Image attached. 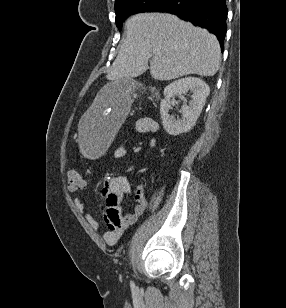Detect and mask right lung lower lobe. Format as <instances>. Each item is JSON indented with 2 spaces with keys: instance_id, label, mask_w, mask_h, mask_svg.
Here are the masks:
<instances>
[{
  "instance_id": "98d812e1",
  "label": "right lung lower lobe",
  "mask_w": 286,
  "mask_h": 308,
  "mask_svg": "<svg viewBox=\"0 0 286 308\" xmlns=\"http://www.w3.org/2000/svg\"><path fill=\"white\" fill-rule=\"evenodd\" d=\"M152 12H167L215 34L224 49L227 26L226 0H168Z\"/></svg>"
}]
</instances>
